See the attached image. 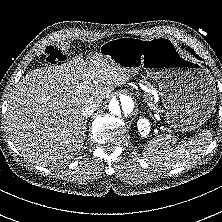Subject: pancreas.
Wrapping results in <instances>:
<instances>
[{
	"label": "pancreas",
	"mask_w": 222,
	"mask_h": 222,
	"mask_svg": "<svg viewBox=\"0 0 222 222\" xmlns=\"http://www.w3.org/2000/svg\"><path fill=\"white\" fill-rule=\"evenodd\" d=\"M149 88L153 89V86H151L150 84H147ZM150 108L153 110H158L157 106L153 103H150Z\"/></svg>",
	"instance_id": "obj_1"
}]
</instances>
